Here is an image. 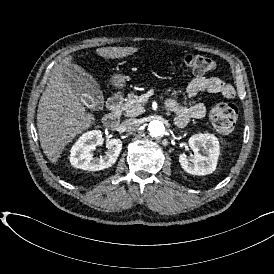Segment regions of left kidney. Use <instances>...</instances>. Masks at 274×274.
<instances>
[{"label": "left kidney", "mask_w": 274, "mask_h": 274, "mask_svg": "<svg viewBox=\"0 0 274 274\" xmlns=\"http://www.w3.org/2000/svg\"><path fill=\"white\" fill-rule=\"evenodd\" d=\"M188 145L194 152L193 160L180 153L178 162L181 168L192 175H207L215 171L219 157V142L214 135L195 134L188 139Z\"/></svg>", "instance_id": "left-kidney-1"}]
</instances>
